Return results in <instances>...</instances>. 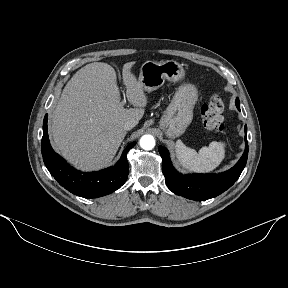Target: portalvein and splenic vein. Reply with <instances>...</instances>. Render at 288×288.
I'll list each match as a JSON object with an SVG mask.
<instances>
[{"instance_id": "obj_1", "label": "portal vein and splenic vein", "mask_w": 288, "mask_h": 288, "mask_svg": "<svg viewBox=\"0 0 288 288\" xmlns=\"http://www.w3.org/2000/svg\"><path fill=\"white\" fill-rule=\"evenodd\" d=\"M125 102H126V101H125V99H124V100L121 102V105H124V104H125Z\"/></svg>"}]
</instances>
